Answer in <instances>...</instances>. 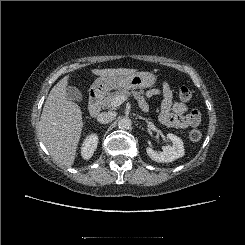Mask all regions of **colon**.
Returning a JSON list of instances; mask_svg holds the SVG:
<instances>
[{
	"mask_svg": "<svg viewBox=\"0 0 245 245\" xmlns=\"http://www.w3.org/2000/svg\"><path fill=\"white\" fill-rule=\"evenodd\" d=\"M178 95L181 101L187 102L192 98V91L185 86L180 87ZM202 137V133L198 129H192L189 133L190 140L196 142L199 141Z\"/></svg>",
	"mask_w": 245,
	"mask_h": 245,
	"instance_id": "1",
	"label": "colon"
}]
</instances>
